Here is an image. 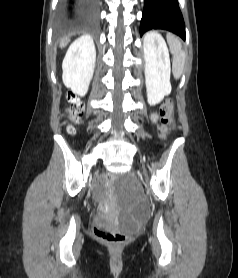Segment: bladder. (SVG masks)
<instances>
[{
  "label": "bladder",
  "mask_w": 238,
  "mask_h": 278,
  "mask_svg": "<svg viewBox=\"0 0 238 278\" xmlns=\"http://www.w3.org/2000/svg\"><path fill=\"white\" fill-rule=\"evenodd\" d=\"M97 220L103 225H109L110 221L103 216H98Z\"/></svg>",
  "instance_id": "obj_1"
}]
</instances>
